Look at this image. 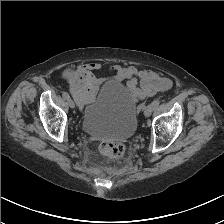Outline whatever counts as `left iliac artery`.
I'll return each instance as SVG.
<instances>
[{"label": "left iliac artery", "instance_id": "obj_1", "mask_svg": "<svg viewBox=\"0 0 224 224\" xmlns=\"http://www.w3.org/2000/svg\"><path fill=\"white\" fill-rule=\"evenodd\" d=\"M159 103H160L159 100H154L151 104H152L153 108L156 109L158 107Z\"/></svg>", "mask_w": 224, "mask_h": 224}]
</instances>
